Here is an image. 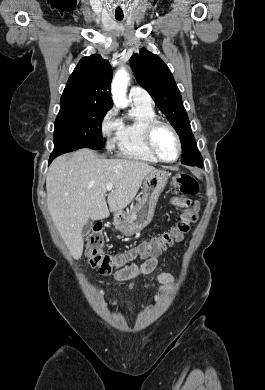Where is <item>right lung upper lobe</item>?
<instances>
[{"label": "right lung upper lobe", "instance_id": "cb5924a9", "mask_svg": "<svg viewBox=\"0 0 265 390\" xmlns=\"http://www.w3.org/2000/svg\"><path fill=\"white\" fill-rule=\"evenodd\" d=\"M112 68L108 60L94 54L82 58L68 79L60 103H89L113 106L110 93Z\"/></svg>", "mask_w": 265, "mask_h": 390}]
</instances>
